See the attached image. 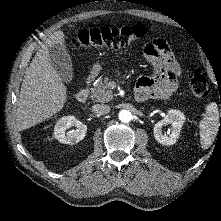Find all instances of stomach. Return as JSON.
I'll use <instances>...</instances> for the list:
<instances>
[{"label":"stomach","mask_w":221,"mask_h":221,"mask_svg":"<svg viewBox=\"0 0 221 221\" xmlns=\"http://www.w3.org/2000/svg\"><path fill=\"white\" fill-rule=\"evenodd\" d=\"M101 68H102L101 65L96 64V65L93 66L92 72H93L94 74H98V73L100 72Z\"/></svg>","instance_id":"obj_1"}]
</instances>
